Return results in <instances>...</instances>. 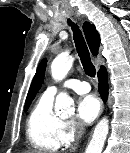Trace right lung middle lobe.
<instances>
[{
	"label": "right lung middle lobe",
	"instance_id": "dd1d6c3e",
	"mask_svg": "<svg viewBox=\"0 0 130 153\" xmlns=\"http://www.w3.org/2000/svg\"><path fill=\"white\" fill-rule=\"evenodd\" d=\"M32 101L25 103V109L24 111H27V109L29 108V105L31 104Z\"/></svg>",
	"mask_w": 130,
	"mask_h": 153
}]
</instances>
